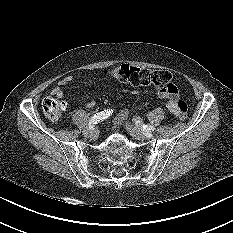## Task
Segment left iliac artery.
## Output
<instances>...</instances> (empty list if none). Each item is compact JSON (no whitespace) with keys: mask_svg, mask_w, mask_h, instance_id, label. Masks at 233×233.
Here are the masks:
<instances>
[{"mask_svg":"<svg viewBox=\"0 0 233 233\" xmlns=\"http://www.w3.org/2000/svg\"><path fill=\"white\" fill-rule=\"evenodd\" d=\"M136 124L139 125V127L143 130V131H154L155 127L152 125H144L140 122L139 119H134Z\"/></svg>","mask_w":233,"mask_h":233,"instance_id":"obj_1","label":"left iliac artery"}]
</instances>
